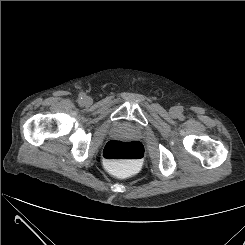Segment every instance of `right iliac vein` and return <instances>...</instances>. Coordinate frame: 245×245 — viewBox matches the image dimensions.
Masks as SVG:
<instances>
[{"label": "right iliac vein", "instance_id": "63e3f726", "mask_svg": "<svg viewBox=\"0 0 245 245\" xmlns=\"http://www.w3.org/2000/svg\"><path fill=\"white\" fill-rule=\"evenodd\" d=\"M84 102L89 104V103L91 102L90 97H85V98H84Z\"/></svg>", "mask_w": 245, "mask_h": 245}]
</instances>
